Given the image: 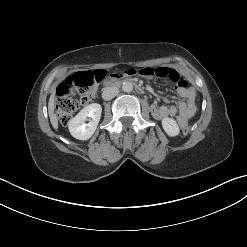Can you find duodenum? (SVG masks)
I'll return each mask as SVG.
<instances>
[{
  "label": "duodenum",
  "mask_w": 247,
  "mask_h": 247,
  "mask_svg": "<svg viewBox=\"0 0 247 247\" xmlns=\"http://www.w3.org/2000/svg\"><path fill=\"white\" fill-rule=\"evenodd\" d=\"M125 81H128L129 79H124ZM123 79H116L115 82H112V83H109L108 81L104 84V88L105 89H108L110 87H113L115 85H118L119 83H121L122 81H124ZM137 89L140 91V92H143L142 88L141 87H137Z\"/></svg>",
  "instance_id": "410a0bca"
}]
</instances>
